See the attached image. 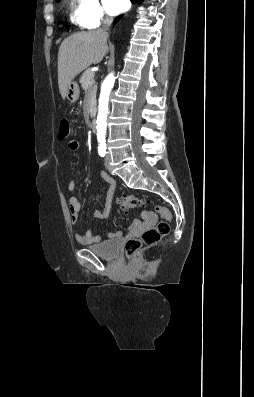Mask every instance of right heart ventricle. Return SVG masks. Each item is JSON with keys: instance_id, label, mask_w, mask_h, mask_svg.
I'll return each mask as SVG.
<instances>
[{"instance_id": "e07e8e85", "label": "right heart ventricle", "mask_w": 254, "mask_h": 397, "mask_svg": "<svg viewBox=\"0 0 254 397\" xmlns=\"http://www.w3.org/2000/svg\"><path fill=\"white\" fill-rule=\"evenodd\" d=\"M70 20L71 22L77 24L80 26L79 21H78V17H77V7L72 5L71 6V10H70Z\"/></svg>"}]
</instances>
